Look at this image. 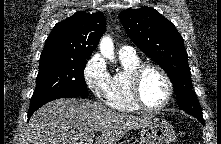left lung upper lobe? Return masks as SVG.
Returning a JSON list of instances; mask_svg holds the SVG:
<instances>
[{
	"instance_id": "5c2ea615",
	"label": "left lung upper lobe",
	"mask_w": 221,
	"mask_h": 144,
	"mask_svg": "<svg viewBox=\"0 0 221 144\" xmlns=\"http://www.w3.org/2000/svg\"><path fill=\"white\" fill-rule=\"evenodd\" d=\"M119 16L130 39L169 76L179 108L202 115L192 90L188 54L174 24L150 7L128 9Z\"/></svg>"
}]
</instances>
